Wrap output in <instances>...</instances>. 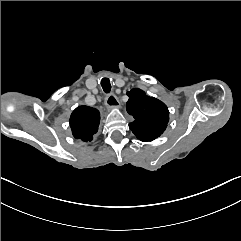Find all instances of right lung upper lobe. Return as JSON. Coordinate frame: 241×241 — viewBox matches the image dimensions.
Masks as SVG:
<instances>
[{
  "mask_svg": "<svg viewBox=\"0 0 241 241\" xmlns=\"http://www.w3.org/2000/svg\"><path fill=\"white\" fill-rule=\"evenodd\" d=\"M99 122V111L88 106L76 108L70 117V127L74 137L84 142L93 139V135L98 131Z\"/></svg>",
  "mask_w": 241,
  "mask_h": 241,
  "instance_id": "cb5924a9",
  "label": "right lung upper lobe"
}]
</instances>
